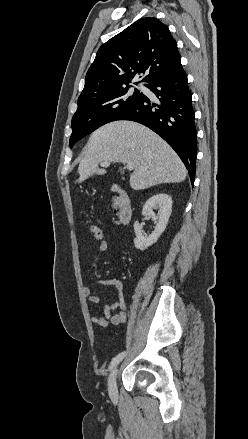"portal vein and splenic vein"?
I'll list each match as a JSON object with an SVG mask.
<instances>
[{
    "label": "portal vein and splenic vein",
    "mask_w": 248,
    "mask_h": 439,
    "mask_svg": "<svg viewBox=\"0 0 248 439\" xmlns=\"http://www.w3.org/2000/svg\"><path fill=\"white\" fill-rule=\"evenodd\" d=\"M109 165H110V163L107 162V161L101 163L102 167H108ZM127 169L130 170V171L133 170L134 169V164L133 163H128L127 164Z\"/></svg>",
    "instance_id": "portal-vein-and-splenic-vein-1"
}]
</instances>
